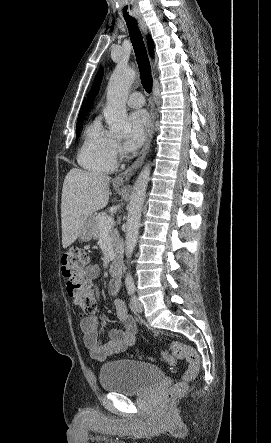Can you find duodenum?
I'll use <instances>...</instances> for the list:
<instances>
[{
	"instance_id": "duodenum-1",
	"label": "duodenum",
	"mask_w": 271,
	"mask_h": 443,
	"mask_svg": "<svg viewBox=\"0 0 271 443\" xmlns=\"http://www.w3.org/2000/svg\"><path fill=\"white\" fill-rule=\"evenodd\" d=\"M122 272V262L120 259H114L110 265V273L114 277H119Z\"/></svg>"
}]
</instances>
